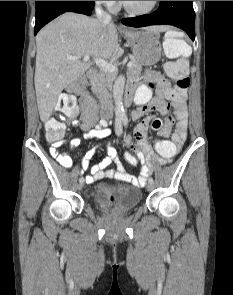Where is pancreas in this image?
<instances>
[{
  "label": "pancreas",
  "instance_id": "1",
  "mask_svg": "<svg viewBox=\"0 0 233 295\" xmlns=\"http://www.w3.org/2000/svg\"><path fill=\"white\" fill-rule=\"evenodd\" d=\"M132 66L128 69V72L136 77L141 74L142 64L136 59H132ZM116 79L115 72H108L103 69L91 79V90L96 94L97 98L104 100L109 96V91L112 88V84Z\"/></svg>",
  "mask_w": 233,
  "mask_h": 295
}]
</instances>
